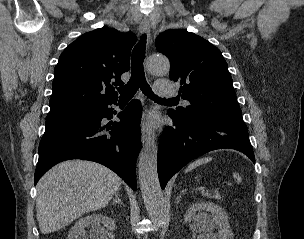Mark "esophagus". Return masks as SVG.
<instances>
[{
    "label": "esophagus",
    "instance_id": "esophagus-1",
    "mask_svg": "<svg viewBox=\"0 0 304 239\" xmlns=\"http://www.w3.org/2000/svg\"><path fill=\"white\" fill-rule=\"evenodd\" d=\"M150 24L147 19H143L140 22V33L141 34H149ZM152 137V131L145 125L142 126L141 129V140L143 143L149 141Z\"/></svg>",
    "mask_w": 304,
    "mask_h": 239
}]
</instances>
